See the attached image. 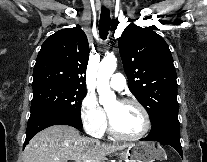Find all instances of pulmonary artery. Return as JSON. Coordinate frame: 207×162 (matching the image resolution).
<instances>
[{"mask_svg": "<svg viewBox=\"0 0 207 162\" xmlns=\"http://www.w3.org/2000/svg\"><path fill=\"white\" fill-rule=\"evenodd\" d=\"M109 85L113 90L122 92L126 86V80L122 74L115 73L112 75Z\"/></svg>", "mask_w": 207, "mask_h": 162, "instance_id": "1", "label": "pulmonary artery"}]
</instances>
